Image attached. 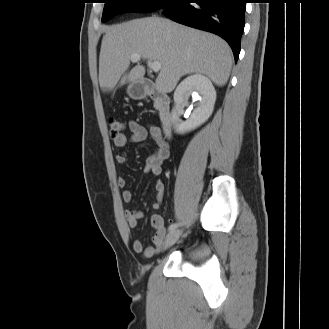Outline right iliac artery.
Listing matches in <instances>:
<instances>
[{
  "label": "right iliac artery",
  "instance_id": "82829eb1",
  "mask_svg": "<svg viewBox=\"0 0 329 329\" xmlns=\"http://www.w3.org/2000/svg\"><path fill=\"white\" fill-rule=\"evenodd\" d=\"M181 223H174L172 225L169 226L168 231H173L174 229H176Z\"/></svg>",
  "mask_w": 329,
  "mask_h": 329
}]
</instances>
